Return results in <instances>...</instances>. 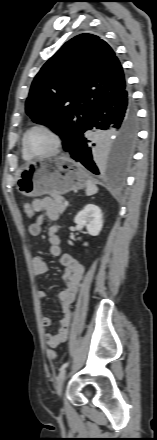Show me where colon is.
Masks as SVG:
<instances>
[{
    "mask_svg": "<svg viewBox=\"0 0 157 440\" xmlns=\"http://www.w3.org/2000/svg\"><path fill=\"white\" fill-rule=\"evenodd\" d=\"M23 211L28 218H32L34 216V211L32 206L29 203H24ZM57 357L56 351L51 349L48 351V358L53 361Z\"/></svg>",
    "mask_w": 157,
    "mask_h": 440,
    "instance_id": "1",
    "label": "colon"
}]
</instances>
